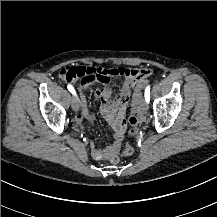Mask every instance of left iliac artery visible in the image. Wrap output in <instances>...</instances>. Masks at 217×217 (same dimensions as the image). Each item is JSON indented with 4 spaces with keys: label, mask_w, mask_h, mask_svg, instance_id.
<instances>
[{
    "label": "left iliac artery",
    "mask_w": 217,
    "mask_h": 217,
    "mask_svg": "<svg viewBox=\"0 0 217 217\" xmlns=\"http://www.w3.org/2000/svg\"><path fill=\"white\" fill-rule=\"evenodd\" d=\"M144 96H145L146 102L149 103V101H150V86L146 87Z\"/></svg>",
    "instance_id": "1"
}]
</instances>
